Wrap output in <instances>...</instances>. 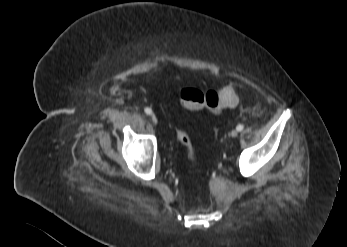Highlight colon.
Instances as JSON below:
<instances>
[{
  "label": "colon",
  "instance_id": "1",
  "mask_svg": "<svg viewBox=\"0 0 347 247\" xmlns=\"http://www.w3.org/2000/svg\"><path fill=\"white\" fill-rule=\"evenodd\" d=\"M180 100L184 107L190 110L206 108L214 114H219L237 103V94L231 85H227L218 91L203 92L199 89L188 87L180 93ZM176 137L186 151L188 159H193L195 148L188 133L178 128Z\"/></svg>",
  "mask_w": 347,
  "mask_h": 247
}]
</instances>
